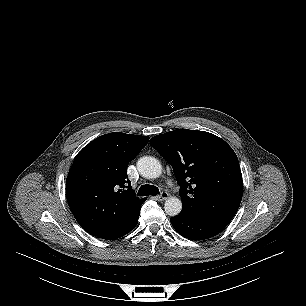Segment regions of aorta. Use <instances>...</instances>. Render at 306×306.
I'll list each match as a JSON object with an SVG mask.
<instances>
[{
  "instance_id": "1",
  "label": "aorta",
  "mask_w": 306,
  "mask_h": 306,
  "mask_svg": "<svg viewBox=\"0 0 306 306\" xmlns=\"http://www.w3.org/2000/svg\"><path fill=\"white\" fill-rule=\"evenodd\" d=\"M139 173L147 179H156L162 174V165L152 156L141 157L137 161ZM164 210L169 216H176L182 210V202L177 197H170L165 201Z\"/></svg>"
}]
</instances>
